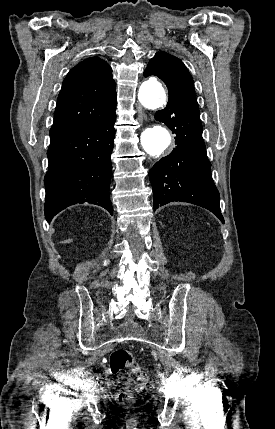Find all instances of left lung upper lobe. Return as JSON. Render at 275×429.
<instances>
[{
  "instance_id": "1",
  "label": "left lung upper lobe",
  "mask_w": 275,
  "mask_h": 429,
  "mask_svg": "<svg viewBox=\"0 0 275 429\" xmlns=\"http://www.w3.org/2000/svg\"><path fill=\"white\" fill-rule=\"evenodd\" d=\"M150 75H155L163 80L168 88L169 97L188 95L196 100L192 76L177 57L165 52H157L144 71L145 77Z\"/></svg>"
}]
</instances>
